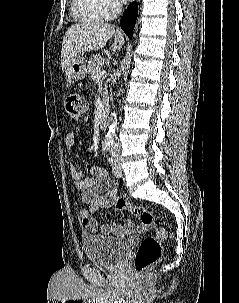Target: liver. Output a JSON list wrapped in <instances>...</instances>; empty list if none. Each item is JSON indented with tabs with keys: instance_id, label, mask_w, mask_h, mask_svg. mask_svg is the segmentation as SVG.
Returning a JSON list of instances; mask_svg holds the SVG:
<instances>
[{
	"instance_id": "liver-1",
	"label": "liver",
	"mask_w": 239,
	"mask_h": 303,
	"mask_svg": "<svg viewBox=\"0 0 239 303\" xmlns=\"http://www.w3.org/2000/svg\"><path fill=\"white\" fill-rule=\"evenodd\" d=\"M115 35L112 51L120 50L124 45V37L119 30L98 21H87L72 25L65 33L61 49V65L65 70L67 62L79 53L97 51Z\"/></svg>"
}]
</instances>
